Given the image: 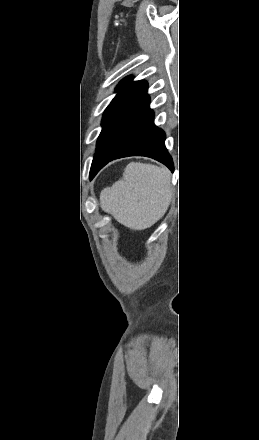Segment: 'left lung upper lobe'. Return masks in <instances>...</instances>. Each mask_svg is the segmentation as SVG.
Returning <instances> with one entry per match:
<instances>
[{
  "mask_svg": "<svg viewBox=\"0 0 259 440\" xmlns=\"http://www.w3.org/2000/svg\"><path fill=\"white\" fill-rule=\"evenodd\" d=\"M147 88L148 84L146 81L132 82L131 76L123 79L117 86L116 89L119 90V93L111 101L103 115L102 131L97 141L96 153L90 173L95 166L96 159L111 139L119 124L134 107Z\"/></svg>",
  "mask_w": 259,
  "mask_h": 440,
  "instance_id": "obj_1",
  "label": "left lung upper lobe"
}]
</instances>
